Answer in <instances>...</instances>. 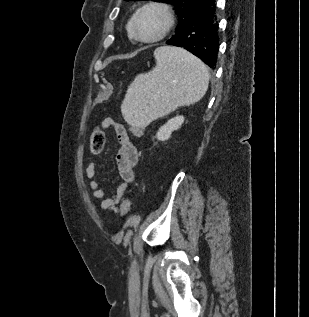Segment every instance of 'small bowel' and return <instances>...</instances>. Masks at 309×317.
<instances>
[{"label":"small bowel","mask_w":309,"mask_h":317,"mask_svg":"<svg viewBox=\"0 0 309 317\" xmlns=\"http://www.w3.org/2000/svg\"><path fill=\"white\" fill-rule=\"evenodd\" d=\"M103 128L112 129L115 132L119 143V150L116 155V164L118 168L120 183L115 193L111 197H106L105 190L96 179L97 164L90 162L85 170V176L89 180V187L93 198L100 200L103 210L118 212L127 187L135 179V167L138 162V151L131 142L128 132L120 122L107 118L102 123Z\"/></svg>","instance_id":"small-bowel-1"}]
</instances>
